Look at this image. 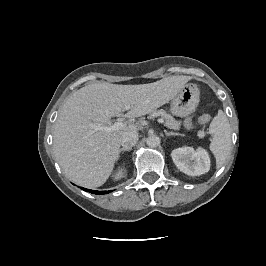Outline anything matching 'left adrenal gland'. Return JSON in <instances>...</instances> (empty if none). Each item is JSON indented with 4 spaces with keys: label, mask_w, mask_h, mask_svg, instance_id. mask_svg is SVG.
<instances>
[{
    "label": "left adrenal gland",
    "mask_w": 266,
    "mask_h": 266,
    "mask_svg": "<svg viewBox=\"0 0 266 266\" xmlns=\"http://www.w3.org/2000/svg\"><path fill=\"white\" fill-rule=\"evenodd\" d=\"M166 136H183L182 134L179 133H174V132H167L165 131Z\"/></svg>",
    "instance_id": "left-adrenal-gland-1"
}]
</instances>
